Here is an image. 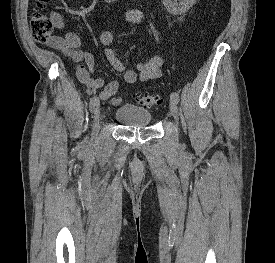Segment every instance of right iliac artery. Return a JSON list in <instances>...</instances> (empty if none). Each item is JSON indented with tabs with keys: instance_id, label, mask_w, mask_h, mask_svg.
I'll use <instances>...</instances> for the list:
<instances>
[{
	"instance_id": "82829eb1",
	"label": "right iliac artery",
	"mask_w": 275,
	"mask_h": 263,
	"mask_svg": "<svg viewBox=\"0 0 275 263\" xmlns=\"http://www.w3.org/2000/svg\"><path fill=\"white\" fill-rule=\"evenodd\" d=\"M99 101L97 96H94L90 99V111L93 112L97 102Z\"/></svg>"
}]
</instances>
